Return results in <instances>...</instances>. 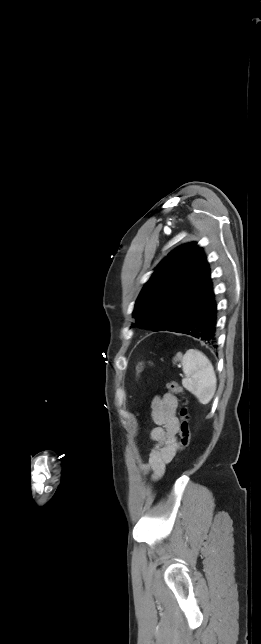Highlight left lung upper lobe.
Returning <instances> with one entry per match:
<instances>
[{
	"label": "left lung upper lobe",
	"instance_id": "5c2ea615",
	"mask_svg": "<svg viewBox=\"0 0 261 644\" xmlns=\"http://www.w3.org/2000/svg\"><path fill=\"white\" fill-rule=\"evenodd\" d=\"M213 284L202 248L196 243L172 251L156 267L136 300V324L163 331L180 323L210 292Z\"/></svg>",
	"mask_w": 261,
	"mask_h": 644
}]
</instances>
